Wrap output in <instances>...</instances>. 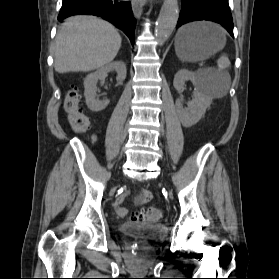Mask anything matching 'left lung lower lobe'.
I'll return each instance as SVG.
<instances>
[{
    "label": "left lung lower lobe",
    "mask_w": 279,
    "mask_h": 279,
    "mask_svg": "<svg viewBox=\"0 0 279 279\" xmlns=\"http://www.w3.org/2000/svg\"><path fill=\"white\" fill-rule=\"evenodd\" d=\"M197 20L217 22L224 26L230 35L234 37L233 19L228 0H181L177 28L185 23Z\"/></svg>",
    "instance_id": "1"
}]
</instances>
